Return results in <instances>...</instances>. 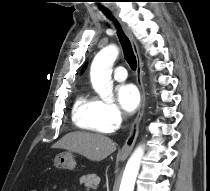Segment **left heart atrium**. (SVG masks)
<instances>
[{"mask_svg": "<svg viewBox=\"0 0 210 191\" xmlns=\"http://www.w3.org/2000/svg\"><path fill=\"white\" fill-rule=\"evenodd\" d=\"M118 101L127 113L134 112L140 103V94L133 84H123L117 89Z\"/></svg>", "mask_w": 210, "mask_h": 191, "instance_id": "obj_1", "label": "left heart atrium"}]
</instances>
